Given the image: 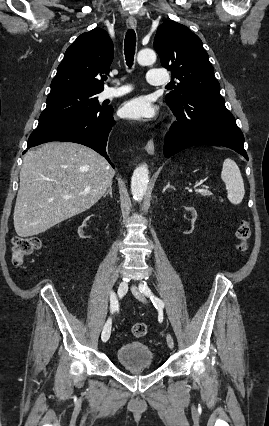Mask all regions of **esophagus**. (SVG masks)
I'll use <instances>...</instances> for the list:
<instances>
[{
  "instance_id": "esophagus-1",
  "label": "esophagus",
  "mask_w": 269,
  "mask_h": 426,
  "mask_svg": "<svg viewBox=\"0 0 269 426\" xmlns=\"http://www.w3.org/2000/svg\"><path fill=\"white\" fill-rule=\"evenodd\" d=\"M127 27L130 29H135L137 26V21L133 16L128 17L126 21ZM145 149L148 154L153 155L155 151L154 143L152 140H149L145 146Z\"/></svg>"
}]
</instances>
